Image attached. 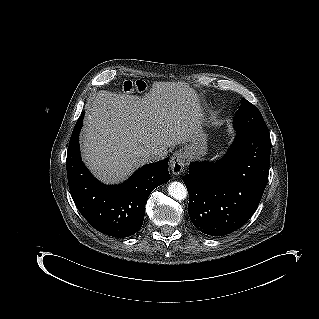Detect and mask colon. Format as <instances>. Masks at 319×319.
<instances>
[{"label": "colon", "mask_w": 319, "mask_h": 319, "mask_svg": "<svg viewBox=\"0 0 319 319\" xmlns=\"http://www.w3.org/2000/svg\"><path fill=\"white\" fill-rule=\"evenodd\" d=\"M147 88V85L143 81H126L123 83L122 90L124 92H143Z\"/></svg>", "instance_id": "obj_1"}]
</instances>
